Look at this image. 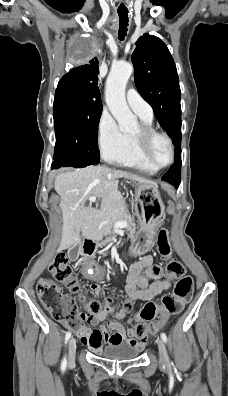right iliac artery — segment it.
<instances>
[{"instance_id":"right-iliac-artery-1","label":"right iliac artery","mask_w":228,"mask_h":396,"mask_svg":"<svg viewBox=\"0 0 228 396\" xmlns=\"http://www.w3.org/2000/svg\"><path fill=\"white\" fill-rule=\"evenodd\" d=\"M70 337H71V332H67V333H66V336H65V343L68 342V340L70 339ZM66 366H67V359H66V357H64V359H63V361H62V363H61V369H62V370H65V369H66Z\"/></svg>"}]
</instances>
